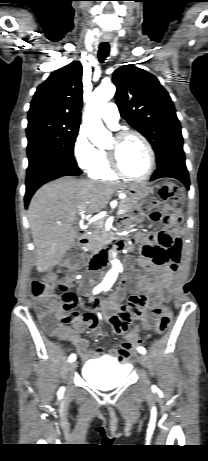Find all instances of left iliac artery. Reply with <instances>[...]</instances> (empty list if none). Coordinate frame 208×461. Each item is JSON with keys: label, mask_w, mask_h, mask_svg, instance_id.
I'll list each match as a JSON object with an SVG mask.
<instances>
[{"label": "left iliac artery", "mask_w": 208, "mask_h": 461, "mask_svg": "<svg viewBox=\"0 0 208 461\" xmlns=\"http://www.w3.org/2000/svg\"><path fill=\"white\" fill-rule=\"evenodd\" d=\"M109 289V287H105L104 290L107 291ZM138 351L141 353V354H145L146 353V350L144 347H138Z\"/></svg>", "instance_id": "1"}]
</instances>
